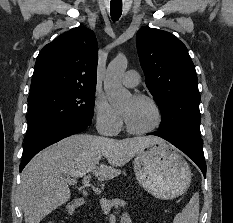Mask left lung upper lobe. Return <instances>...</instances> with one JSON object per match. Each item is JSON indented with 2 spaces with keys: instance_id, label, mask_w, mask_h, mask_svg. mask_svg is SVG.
Returning <instances> with one entry per match:
<instances>
[{
  "instance_id": "obj_1",
  "label": "left lung upper lobe",
  "mask_w": 233,
  "mask_h": 223,
  "mask_svg": "<svg viewBox=\"0 0 233 223\" xmlns=\"http://www.w3.org/2000/svg\"><path fill=\"white\" fill-rule=\"evenodd\" d=\"M136 44L146 85L161 111L160 133L200 138V93L186 46L169 32L142 27Z\"/></svg>"
}]
</instances>
